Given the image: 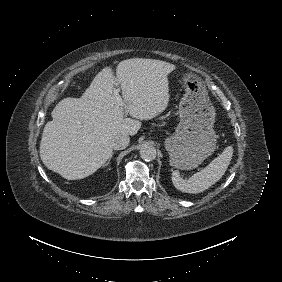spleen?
Listing matches in <instances>:
<instances>
[{
    "mask_svg": "<svg viewBox=\"0 0 282 282\" xmlns=\"http://www.w3.org/2000/svg\"><path fill=\"white\" fill-rule=\"evenodd\" d=\"M233 152V145H228L216 159L200 173L194 174L188 181L180 177L178 170H174L172 172L174 186L185 193L198 194L204 192L223 177L231 162Z\"/></svg>",
    "mask_w": 282,
    "mask_h": 282,
    "instance_id": "3e777b00",
    "label": "spleen"
}]
</instances>
